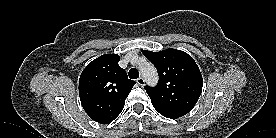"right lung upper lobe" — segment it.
Returning <instances> with one entry per match:
<instances>
[{"label":"right lung upper lobe","mask_w":276,"mask_h":138,"mask_svg":"<svg viewBox=\"0 0 276 138\" xmlns=\"http://www.w3.org/2000/svg\"><path fill=\"white\" fill-rule=\"evenodd\" d=\"M116 54H104L90 62L79 79V96L85 112L98 123H111L123 110L135 82L118 62Z\"/></svg>","instance_id":"obj_1"}]
</instances>
